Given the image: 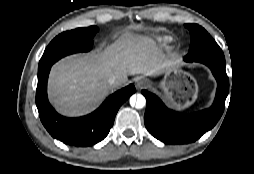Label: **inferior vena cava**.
Wrapping results in <instances>:
<instances>
[{
    "label": "inferior vena cava",
    "mask_w": 254,
    "mask_h": 174,
    "mask_svg": "<svg viewBox=\"0 0 254 174\" xmlns=\"http://www.w3.org/2000/svg\"><path fill=\"white\" fill-rule=\"evenodd\" d=\"M108 83L111 86H118L120 81H119V79L116 76H112L111 78H109Z\"/></svg>",
    "instance_id": "obj_1"
}]
</instances>
